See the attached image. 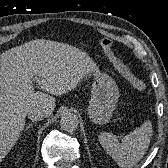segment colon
<instances>
[{
	"label": "colon",
	"instance_id": "1",
	"mask_svg": "<svg viewBox=\"0 0 168 168\" xmlns=\"http://www.w3.org/2000/svg\"><path fill=\"white\" fill-rule=\"evenodd\" d=\"M99 44L114 67L131 83V85L138 91H144L146 89L145 82L136 76L118 57L113 49L112 39L103 37L100 39Z\"/></svg>",
	"mask_w": 168,
	"mask_h": 168
}]
</instances>
